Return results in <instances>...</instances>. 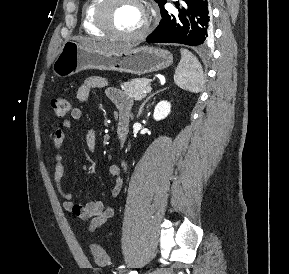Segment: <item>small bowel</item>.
<instances>
[{
  "label": "small bowel",
  "instance_id": "obj_1",
  "mask_svg": "<svg viewBox=\"0 0 289 274\" xmlns=\"http://www.w3.org/2000/svg\"><path fill=\"white\" fill-rule=\"evenodd\" d=\"M94 89H105L107 97L121 112L130 115L132 108V101L128 95L121 90L110 87L105 78L100 76H91L85 79L77 89L76 97L79 102L86 103L90 93ZM84 112L81 107H74L70 111V118L74 121H79L83 118ZM71 125L70 120L64 121L54 132L53 146L55 149L54 154L51 156L50 161L53 165V178L56 183L57 190L63 198V207L66 211L72 213L80 221H89L88 230L95 232L107 220L111 219L115 210L110 205H105L101 200H94L86 203H79L73 200V195L70 191H66L61 186V180L64 176L65 166L64 158L61 152L63 143L66 139V134ZM85 144L90 152H94L97 147V136L93 129L88 130L85 137ZM127 170V164L122 161L120 165H111L109 173L115 177L114 186L111 189V196L116 198L122 191L123 175Z\"/></svg>",
  "mask_w": 289,
  "mask_h": 274
}]
</instances>
